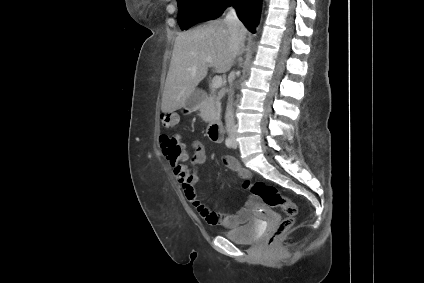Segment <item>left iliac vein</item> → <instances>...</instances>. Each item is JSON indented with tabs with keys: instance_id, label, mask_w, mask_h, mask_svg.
<instances>
[{
	"instance_id": "obj_1",
	"label": "left iliac vein",
	"mask_w": 424,
	"mask_h": 283,
	"mask_svg": "<svg viewBox=\"0 0 424 283\" xmlns=\"http://www.w3.org/2000/svg\"><path fill=\"white\" fill-rule=\"evenodd\" d=\"M232 147L237 148V142H236L235 137H233V139H232Z\"/></svg>"
}]
</instances>
